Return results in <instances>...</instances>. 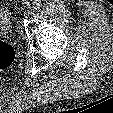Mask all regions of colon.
Listing matches in <instances>:
<instances>
[{
    "mask_svg": "<svg viewBox=\"0 0 113 113\" xmlns=\"http://www.w3.org/2000/svg\"><path fill=\"white\" fill-rule=\"evenodd\" d=\"M15 52L12 46L0 41V71L8 68L14 61Z\"/></svg>",
    "mask_w": 113,
    "mask_h": 113,
    "instance_id": "obj_1",
    "label": "colon"
}]
</instances>
